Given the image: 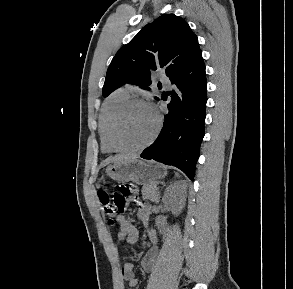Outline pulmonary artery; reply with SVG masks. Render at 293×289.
Listing matches in <instances>:
<instances>
[{"label": "pulmonary artery", "mask_w": 293, "mask_h": 289, "mask_svg": "<svg viewBox=\"0 0 293 289\" xmlns=\"http://www.w3.org/2000/svg\"><path fill=\"white\" fill-rule=\"evenodd\" d=\"M162 82L168 86L170 84V81L168 79H162ZM126 89L129 91V90H132V86H127Z\"/></svg>", "instance_id": "obj_1"}]
</instances>
